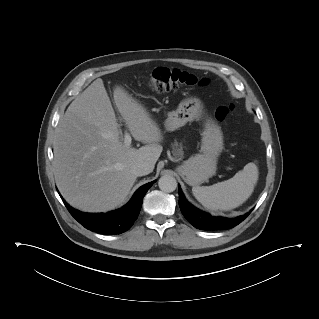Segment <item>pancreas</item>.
<instances>
[{
    "label": "pancreas",
    "instance_id": "cf45deb5",
    "mask_svg": "<svg viewBox=\"0 0 319 319\" xmlns=\"http://www.w3.org/2000/svg\"><path fill=\"white\" fill-rule=\"evenodd\" d=\"M172 153H173V156L175 157H180L182 158L183 157V147H182V144L181 143H178L177 141H175L173 144H172Z\"/></svg>",
    "mask_w": 319,
    "mask_h": 319
}]
</instances>
